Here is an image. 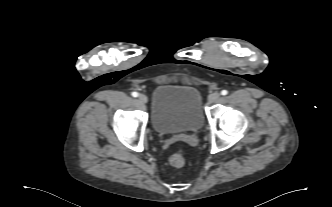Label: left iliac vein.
I'll return each instance as SVG.
<instances>
[{"mask_svg":"<svg viewBox=\"0 0 332 207\" xmlns=\"http://www.w3.org/2000/svg\"><path fill=\"white\" fill-rule=\"evenodd\" d=\"M221 99V95L219 92L211 93L208 97L209 103H217Z\"/></svg>","mask_w":332,"mask_h":207,"instance_id":"obj_1","label":"left iliac vein"}]
</instances>
